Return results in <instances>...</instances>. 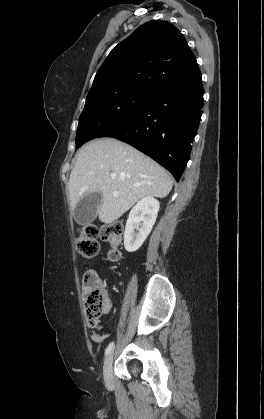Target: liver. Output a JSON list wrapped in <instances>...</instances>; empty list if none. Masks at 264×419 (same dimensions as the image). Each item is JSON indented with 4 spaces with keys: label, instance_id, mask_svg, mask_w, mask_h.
<instances>
[{
    "label": "liver",
    "instance_id": "obj_1",
    "mask_svg": "<svg viewBox=\"0 0 264 419\" xmlns=\"http://www.w3.org/2000/svg\"><path fill=\"white\" fill-rule=\"evenodd\" d=\"M172 185L169 174L154 160L129 144L104 138L91 141L80 150L68 190L72 209L86 194L99 192V219L110 224L141 198L166 197Z\"/></svg>",
    "mask_w": 264,
    "mask_h": 419
}]
</instances>
